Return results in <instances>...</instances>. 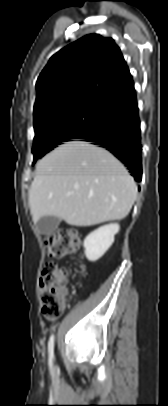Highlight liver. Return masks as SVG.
<instances>
[{
	"label": "liver",
	"instance_id": "obj_1",
	"mask_svg": "<svg viewBox=\"0 0 168 406\" xmlns=\"http://www.w3.org/2000/svg\"><path fill=\"white\" fill-rule=\"evenodd\" d=\"M136 196L134 179L110 152L69 141L37 163L29 204L35 223L55 216L69 225L90 226L124 219Z\"/></svg>",
	"mask_w": 168,
	"mask_h": 406
}]
</instances>
